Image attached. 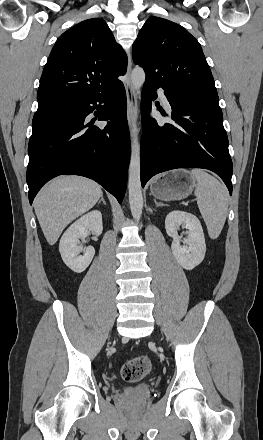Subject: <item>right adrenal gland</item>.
I'll return each instance as SVG.
<instances>
[{
    "mask_svg": "<svg viewBox=\"0 0 263 440\" xmlns=\"http://www.w3.org/2000/svg\"><path fill=\"white\" fill-rule=\"evenodd\" d=\"M101 201L103 202V204H104V205H106V202H105V200H104V197H103V196H101V199H100V201L98 202V204H99V203H100Z\"/></svg>",
    "mask_w": 263,
    "mask_h": 440,
    "instance_id": "right-adrenal-gland-1",
    "label": "right adrenal gland"
}]
</instances>
